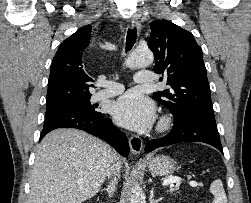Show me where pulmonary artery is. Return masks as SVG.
<instances>
[{
    "label": "pulmonary artery",
    "instance_id": "obj_1",
    "mask_svg": "<svg viewBox=\"0 0 251 203\" xmlns=\"http://www.w3.org/2000/svg\"><path fill=\"white\" fill-rule=\"evenodd\" d=\"M134 81L140 83L152 82V73L150 71L138 72L134 76ZM106 88L98 91L93 95L94 101H100L106 98L114 97L123 92L124 86L121 83L108 81L105 83Z\"/></svg>",
    "mask_w": 251,
    "mask_h": 203
}]
</instances>
